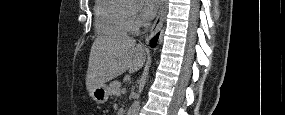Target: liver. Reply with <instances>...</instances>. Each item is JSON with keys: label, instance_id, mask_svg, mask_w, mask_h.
I'll return each mask as SVG.
<instances>
[{"label": "liver", "instance_id": "6515ba94", "mask_svg": "<svg viewBox=\"0 0 285 115\" xmlns=\"http://www.w3.org/2000/svg\"><path fill=\"white\" fill-rule=\"evenodd\" d=\"M145 60V49L133 38L128 36L98 37L90 51L86 88L92 91L120 76L126 70L134 73L143 67Z\"/></svg>", "mask_w": 285, "mask_h": 115}]
</instances>
